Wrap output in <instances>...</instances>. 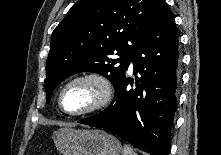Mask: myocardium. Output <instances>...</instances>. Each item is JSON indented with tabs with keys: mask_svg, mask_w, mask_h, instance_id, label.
Returning a JSON list of instances; mask_svg holds the SVG:
<instances>
[{
	"mask_svg": "<svg viewBox=\"0 0 221 155\" xmlns=\"http://www.w3.org/2000/svg\"><path fill=\"white\" fill-rule=\"evenodd\" d=\"M78 83L92 84L97 90V98L92 105L83 110L76 112L68 111L63 106V95L69 87ZM112 98L113 87L110 80L105 75L97 72H85L72 77L61 87L58 93L57 102L60 110L65 114L69 116H85L104 109L110 104Z\"/></svg>",
	"mask_w": 221,
	"mask_h": 155,
	"instance_id": "f54148a6",
	"label": "myocardium"
}]
</instances>
